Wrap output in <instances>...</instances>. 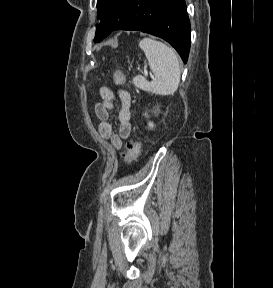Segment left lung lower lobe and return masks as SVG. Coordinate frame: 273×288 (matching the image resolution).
Wrapping results in <instances>:
<instances>
[{"instance_id":"obj_1","label":"left lung lower lobe","mask_w":273,"mask_h":288,"mask_svg":"<svg viewBox=\"0 0 273 288\" xmlns=\"http://www.w3.org/2000/svg\"><path fill=\"white\" fill-rule=\"evenodd\" d=\"M117 29L160 37L177 50L184 63L188 60L191 28L185 0H133Z\"/></svg>"}]
</instances>
